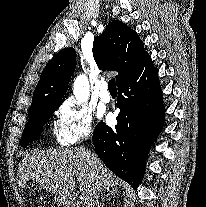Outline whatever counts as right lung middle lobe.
<instances>
[{
	"label": "right lung middle lobe",
	"mask_w": 206,
	"mask_h": 207,
	"mask_svg": "<svg viewBox=\"0 0 206 207\" xmlns=\"http://www.w3.org/2000/svg\"><path fill=\"white\" fill-rule=\"evenodd\" d=\"M59 104H47L43 105L31 112H29V120L23 135L21 137V145L25 147L30 142L38 140L43 129V125L50 118L52 113L60 106Z\"/></svg>",
	"instance_id": "right-lung-middle-lobe-1"
}]
</instances>
